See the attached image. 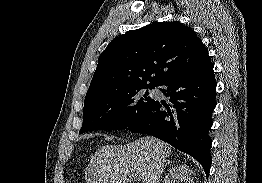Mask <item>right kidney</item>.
Instances as JSON below:
<instances>
[{"instance_id":"1","label":"right kidney","mask_w":262,"mask_h":183,"mask_svg":"<svg viewBox=\"0 0 262 183\" xmlns=\"http://www.w3.org/2000/svg\"><path fill=\"white\" fill-rule=\"evenodd\" d=\"M181 181L184 183L193 182V170L187 165L174 166L165 177V183H175Z\"/></svg>"}]
</instances>
